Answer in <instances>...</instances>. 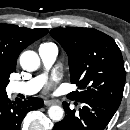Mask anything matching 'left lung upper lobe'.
<instances>
[{
	"instance_id": "1",
	"label": "left lung upper lobe",
	"mask_w": 130,
	"mask_h": 130,
	"mask_svg": "<svg viewBox=\"0 0 130 130\" xmlns=\"http://www.w3.org/2000/svg\"><path fill=\"white\" fill-rule=\"evenodd\" d=\"M50 34L66 51L71 83L77 85L68 97L77 102L97 98L119 107L125 69L115 41L93 28H55Z\"/></svg>"
}]
</instances>
